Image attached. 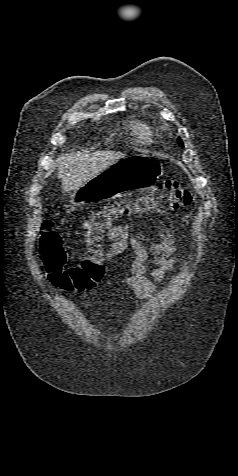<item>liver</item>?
<instances>
[{
	"label": "liver",
	"instance_id": "1",
	"mask_svg": "<svg viewBox=\"0 0 238 476\" xmlns=\"http://www.w3.org/2000/svg\"><path fill=\"white\" fill-rule=\"evenodd\" d=\"M124 157L123 153L115 151L71 153L58 157L57 177L61 178L62 191L68 193L79 188Z\"/></svg>",
	"mask_w": 238,
	"mask_h": 476
}]
</instances>
